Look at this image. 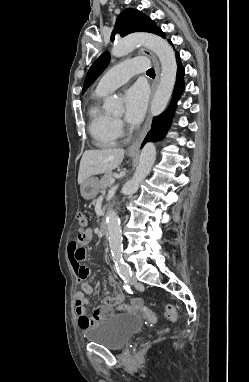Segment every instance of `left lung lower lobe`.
<instances>
[{
    "mask_svg": "<svg viewBox=\"0 0 249 382\" xmlns=\"http://www.w3.org/2000/svg\"><path fill=\"white\" fill-rule=\"evenodd\" d=\"M176 58H177L178 70H177L176 84H175L172 102L165 113L153 119L152 128L150 132L147 134L143 145L148 141H156V140L164 138L170 126L175 105L184 88V84H183L184 68L181 65L179 54H176Z\"/></svg>",
    "mask_w": 249,
    "mask_h": 382,
    "instance_id": "1",
    "label": "left lung lower lobe"
}]
</instances>
